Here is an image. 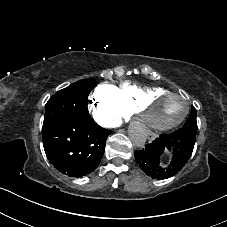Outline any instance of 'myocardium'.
Returning a JSON list of instances; mask_svg holds the SVG:
<instances>
[{
	"label": "myocardium",
	"mask_w": 227,
	"mask_h": 227,
	"mask_svg": "<svg viewBox=\"0 0 227 227\" xmlns=\"http://www.w3.org/2000/svg\"><path fill=\"white\" fill-rule=\"evenodd\" d=\"M165 96H180L185 100L186 106L180 118H178L177 120H175L174 122L168 125L162 126V125H157L150 121L147 114V110L154 102H156L157 100ZM189 111H190L189 97L182 92H176V91H165L161 93L152 94L146 97L137 109L140 122L144 125L145 128L149 130H172L177 126H179L186 119V117L189 114Z\"/></svg>",
	"instance_id": "myocardium-1"
}]
</instances>
